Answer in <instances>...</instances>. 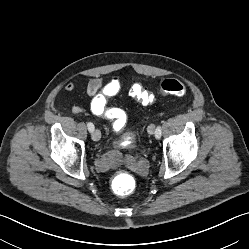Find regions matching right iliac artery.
Segmentation results:
<instances>
[{
  "label": "right iliac artery",
  "instance_id": "obj_1",
  "mask_svg": "<svg viewBox=\"0 0 249 249\" xmlns=\"http://www.w3.org/2000/svg\"><path fill=\"white\" fill-rule=\"evenodd\" d=\"M87 127H88V130H89L90 132H93V130H94V125H93V123L88 122V123H87Z\"/></svg>",
  "mask_w": 249,
  "mask_h": 249
}]
</instances>
